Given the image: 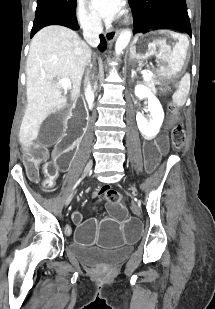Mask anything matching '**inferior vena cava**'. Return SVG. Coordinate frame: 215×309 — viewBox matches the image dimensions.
<instances>
[{"label": "inferior vena cava", "instance_id": "1", "mask_svg": "<svg viewBox=\"0 0 215 309\" xmlns=\"http://www.w3.org/2000/svg\"><path fill=\"white\" fill-rule=\"evenodd\" d=\"M83 36L91 46H98L100 42L99 34L103 32V26L101 18H88L85 22H82ZM92 66V64H90ZM84 94L88 102L89 108H93L94 102V90L91 84L90 70L86 68L84 76Z\"/></svg>", "mask_w": 215, "mask_h": 309}]
</instances>
